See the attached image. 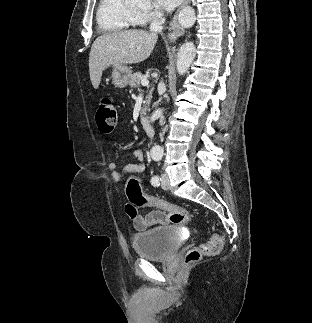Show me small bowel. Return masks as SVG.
Listing matches in <instances>:
<instances>
[{
    "mask_svg": "<svg viewBox=\"0 0 312 323\" xmlns=\"http://www.w3.org/2000/svg\"><path fill=\"white\" fill-rule=\"evenodd\" d=\"M126 155L134 157L136 162L127 163L122 170H119L118 163L116 161H112L108 164V168L112 174V179L116 183H120L125 174L142 173L146 168L144 154L140 149L130 150ZM129 217L132 220L134 228L138 231H144L158 225H165L169 222L168 216L160 210H153L146 214L137 211L136 216Z\"/></svg>",
    "mask_w": 312,
    "mask_h": 323,
    "instance_id": "obj_1",
    "label": "small bowel"
}]
</instances>
